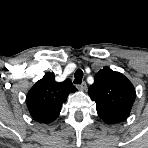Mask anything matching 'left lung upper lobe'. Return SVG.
Segmentation results:
<instances>
[{
  "label": "left lung upper lobe",
  "mask_w": 148,
  "mask_h": 148,
  "mask_svg": "<svg viewBox=\"0 0 148 148\" xmlns=\"http://www.w3.org/2000/svg\"><path fill=\"white\" fill-rule=\"evenodd\" d=\"M88 94L96 102L99 117L107 124L124 121L129 116L136 97L132 83L123 74L108 67L95 75Z\"/></svg>",
  "instance_id": "obj_1"
}]
</instances>
